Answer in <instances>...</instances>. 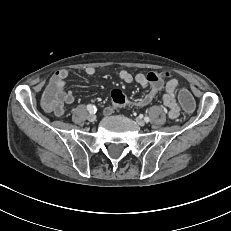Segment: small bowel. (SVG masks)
<instances>
[{
    "instance_id": "1",
    "label": "small bowel",
    "mask_w": 231,
    "mask_h": 231,
    "mask_svg": "<svg viewBox=\"0 0 231 231\" xmlns=\"http://www.w3.org/2000/svg\"><path fill=\"white\" fill-rule=\"evenodd\" d=\"M85 74L93 76L95 69L93 67H86ZM61 78L58 79L57 88L58 91L55 94L56 102L52 107L48 109L57 116H62L65 112L64 105L74 102V90L66 89V81L69 75L68 70L61 69ZM119 78L125 83L136 82L140 86H149V91L139 98L128 100L126 104L143 107L152 102L155 96L164 88L165 93L163 95V101L168 108V115L170 119H175L180 113V105L178 103L177 91L179 88V81L177 78H171L164 83L163 78L160 77L159 72H151L149 74H132L127 70H121L118 73Z\"/></svg>"
}]
</instances>
